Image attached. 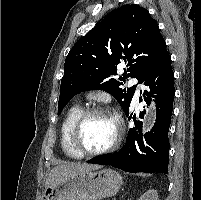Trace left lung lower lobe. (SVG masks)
I'll return each mask as SVG.
<instances>
[{
    "label": "left lung lower lobe",
    "mask_w": 201,
    "mask_h": 200,
    "mask_svg": "<svg viewBox=\"0 0 201 200\" xmlns=\"http://www.w3.org/2000/svg\"><path fill=\"white\" fill-rule=\"evenodd\" d=\"M142 83L151 89V91H144V101L149 105L150 97L157 99L155 101L156 123L153 129L146 133L143 138L140 123L139 126L136 124V128L129 130L126 143L118 152L93 158L88 163L110 165L132 173L168 174L170 148L168 131L175 95L174 72L171 68V57L168 52L144 77ZM140 101H142L141 97ZM128 114L129 111L126 115L128 116ZM143 116L144 111L140 112V118Z\"/></svg>",
    "instance_id": "0a47b994"
}]
</instances>
